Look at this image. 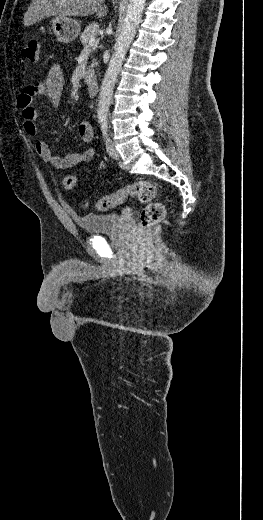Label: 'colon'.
Listing matches in <instances>:
<instances>
[{"label":"colon","instance_id":"5ec220e1","mask_svg":"<svg viewBox=\"0 0 263 520\" xmlns=\"http://www.w3.org/2000/svg\"><path fill=\"white\" fill-rule=\"evenodd\" d=\"M40 48V41L31 39L22 49V56L30 62H37L39 60ZM62 187L66 191H74L77 187L76 176L73 174L65 175L62 179ZM128 198H137L144 204L140 213V225L142 228H149L165 217L166 209L164 204L157 200L156 186L146 181L136 182L115 193L100 197L94 202H85L82 206L84 208L105 211L122 204Z\"/></svg>","mask_w":263,"mask_h":520}]
</instances>
